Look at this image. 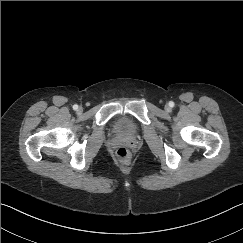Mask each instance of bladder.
<instances>
[{
    "label": "bladder",
    "mask_w": 243,
    "mask_h": 243,
    "mask_svg": "<svg viewBox=\"0 0 243 243\" xmlns=\"http://www.w3.org/2000/svg\"><path fill=\"white\" fill-rule=\"evenodd\" d=\"M112 129L120 137L134 136L139 130L133 119L125 114H120L113 119Z\"/></svg>",
    "instance_id": "1"
}]
</instances>
